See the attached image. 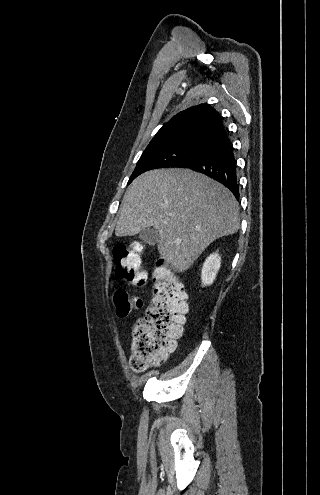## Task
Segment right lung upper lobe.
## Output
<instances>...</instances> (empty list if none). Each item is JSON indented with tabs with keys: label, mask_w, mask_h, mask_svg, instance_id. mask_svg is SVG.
<instances>
[{
	"label": "right lung upper lobe",
	"mask_w": 320,
	"mask_h": 495,
	"mask_svg": "<svg viewBox=\"0 0 320 495\" xmlns=\"http://www.w3.org/2000/svg\"><path fill=\"white\" fill-rule=\"evenodd\" d=\"M225 129L219 113L208 104L179 112L165 123L148 146L182 139L207 140Z\"/></svg>",
	"instance_id": "cb5924a9"
}]
</instances>
